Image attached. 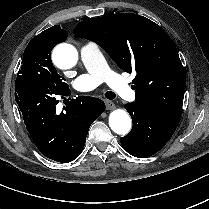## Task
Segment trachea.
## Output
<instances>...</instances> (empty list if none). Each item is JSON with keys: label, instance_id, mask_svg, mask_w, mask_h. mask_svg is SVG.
<instances>
[{"label": "trachea", "instance_id": "trachea-1", "mask_svg": "<svg viewBox=\"0 0 209 209\" xmlns=\"http://www.w3.org/2000/svg\"><path fill=\"white\" fill-rule=\"evenodd\" d=\"M105 97H106L107 99L112 100V99H114V98L116 97V94H115L114 92H112V91H107V92L105 93Z\"/></svg>", "mask_w": 209, "mask_h": 209}]
</instances>
